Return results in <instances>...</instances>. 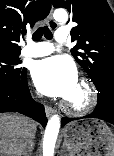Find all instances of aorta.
Masks as SVG:
<instances>
[{
    "label": "aorta",
    "instance_id": "1",
    "mask_svg": "<svg viewBox=\"0 0 114 156\" xmlns=\"http://www.w3.org/2000/svg\"><path fill=\"white\" fill-rule=\"evenodd\" d=\"M54 19L58 22H66L68 13L65 9H56ZM60 129V118L58 115L52 116L46 126L43 139V156H54V148Z\"/></svg>",
    "mask_w": 114,
    "mask_h": 156
}]
</instances>
